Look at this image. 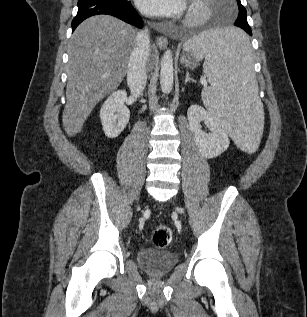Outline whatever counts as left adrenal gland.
Here are the masks:
<instances>
[{
  "label": "left adrenal gland",
  "instance_id": "a2214340",
  "mask_svg": "<svg viewBox=\"0 0 307 317\" xmlns=\"http://www.w3.org/2000/svg\"><path fill=\"white\" fill-rule=\"evenodd\" d=\"M189 81H194L192 78H190L189 73H186V78H185V84Z\"/></svg>",
  "mask_w": 307,
  "mask_h": 317
}]
</instances>
